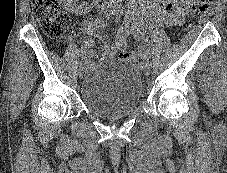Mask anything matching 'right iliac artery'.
Segmentation results:
<instances>
[{"label":"right iliac artery","mask_w":227,"mask_h":173,"mask_svg":"<svg viewBox=\"0 0 227 173\" xmlns=\"http://www.w3.org/2000/svg\"><path fill=\"white\" fill-rule=\"evenodd\" d=\"M111 15H115V11H112V12L107 13V18L108 19H106V22H107V20H109V18L111 17ZM79 64H80V66L83 65L84 64V61H80Z\"/></svg>","instance_id":"right-iliac-artery-1"}]
</instances>
